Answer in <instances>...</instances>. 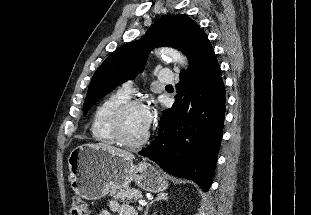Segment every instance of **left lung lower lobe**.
<instances>
[{
  "label": "left lung lower lobe",
  "mask_w": 311,
  "mask_h": 215,
  "mask_svg": "<svg viewBox=\"0 0 311 215\" xmlns=\"http://www.w3.org/2000/svg\"><path fill=\"white\" fill-rule=\"evenodd\" d=\"M187 57L189 68L180 74L175 102L163 111L158 136L139 154L207 191L223 133L225 87L207 36L197 41Z\"/></svg>",
  "instance_id": "1"
}]
</instances>
